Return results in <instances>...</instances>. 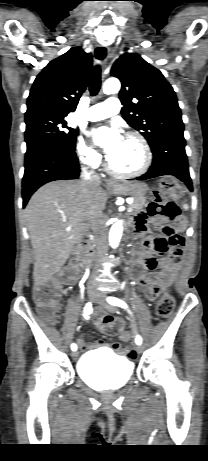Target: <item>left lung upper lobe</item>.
<instances>
[{"label":"left lung upper lobe","mask_w":208,"mask_h":461,"mask_svg":"<svg viewBox=\"0 0 208 461\" xmlns=\"http://www.w3.org/2000/svg\"><path fill=\"white\" fill-rule=\"evenodd\" d=\"M120 79L121 113L147 139L152 151L163 141L184 139V124L175 92L157 68L140 55L125 53L113 64Z\"/></svg>","instance_id":"obj_1"}]
</instances>
